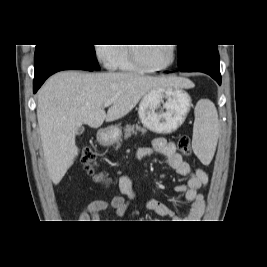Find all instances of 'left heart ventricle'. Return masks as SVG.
I'll return each mask as SVG.
<instances>
[{"mask_svg":"<svg viewBox=\"0 0 267 267\" xmlns=\"http://www.w3.org/2000/svg\"><path fill=\"white\" fill-rule=\"evenodd\" d=\"M136 50L141 61L147 66H163L171 59V47L169 44L136 46Z\"/></svg>","mask_w":267,"mask_h":267,"instance_id":"1","label":"left heart ventricle"}]
</instances>
